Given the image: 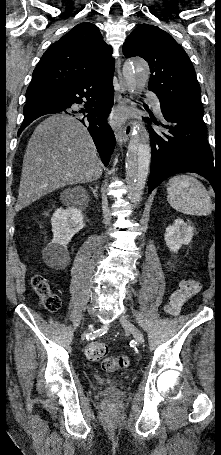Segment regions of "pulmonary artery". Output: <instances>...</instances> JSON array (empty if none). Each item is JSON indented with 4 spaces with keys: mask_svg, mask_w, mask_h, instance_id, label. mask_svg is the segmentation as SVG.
I'll return each instance as SVG.
<instances>
[{
    "mask_svg": "<svg viewBox=\"0 0 221 455\" xmlns=\"http://www.w3.org/2000/svg\"><path fill=\"white\" fill-rule=\"evenodd\" d=\"M146 95L149 96L150 93H149V92H146ZM153 106H154L155 111H156L157 113H160V104H159V102H158L157 99H154V101H153Z\"/></svg>",
    "mask_w": 221,
    "mask_h": 455,
    "instance_id": "e3ab8cb5",
    "label": "pulmonary artery"
}]
</instances>
